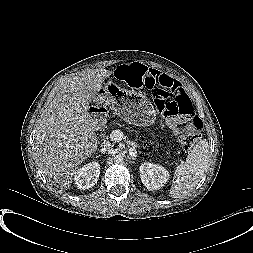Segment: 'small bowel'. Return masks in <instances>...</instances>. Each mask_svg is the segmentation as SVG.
I'll use <instances>...</instances> for the list:
<instances>
[{
    "label": "small bowel",
    "mask_w": 253,
    "mask_h": 253,
    "mask_svg": "<svg viewBox=\"0 0 253 253\" xmlns=\"http://www.w3.org/2000/svg\"><path fill=\"white\" fill-rule=\"evenodd\" d=\"M157 86L176 88L181 87V84L165 73L156 69L147 68V74L144 79V87L152 90ZM180 122L181 120L179 118H173L168 121V126L172 130L178 132V125Z\"/></svg>",
    "instance_id": "small-bowel-1"
}]
</instances>
